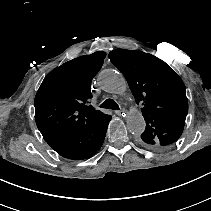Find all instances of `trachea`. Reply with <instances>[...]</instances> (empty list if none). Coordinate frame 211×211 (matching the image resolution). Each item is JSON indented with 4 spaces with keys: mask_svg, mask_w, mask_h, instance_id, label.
<instances>
[{
    "mask_svg": "<svg viewBox=\"0 0 211 211\" xmlns=\"http://www.w3.org/2000/svg\"><path fill=\"white\" fill-rule=\"evenodd\" d=\"M100 108L104 109H112V110H119L118 104L113 99H106L100 106Z\"/></svg>",
    "mask_w": 211,
    "mask_h": 211,
    "instance_id": "trachea-1",
    "label": "trachea"
}]
</instances>
